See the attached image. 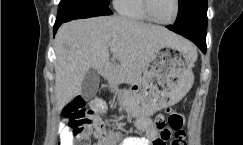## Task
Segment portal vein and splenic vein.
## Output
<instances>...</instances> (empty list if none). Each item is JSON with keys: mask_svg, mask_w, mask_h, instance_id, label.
I'll list each match as a JSON object with an SVG mask.
<instances>
[{"mask_svg": "<svg viewBox=\"0 0 243 145\" xmlns=\"http://www.w3.org/2000/svg\"><path fill=\"white\" fill-rule=\"evenodd\" d=\"M115 44H116V42H115V41H111V42H109V46H110V47L115 46Z\"/></svg>", "mask_w": 243, "mask_h": 145, "instance_id": "portal-vein-and-splenic-vein-1", "label": "portal vein and splenic vein"}]
</instances>
